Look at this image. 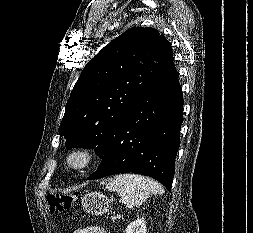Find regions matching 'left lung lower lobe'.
Listing matches in <instances>:
<instances>
[{"label": "left lung lower lobe", "instance_id": "1", "mask_svg": "<svg viewBox=\"0 0 253 233\" xmlns=\"http://www.w3.org/2000/svg\"><path fill=\"white\" fill-rule=\"evenodd\" d=\"M173 60L126 116L88 180L136 173L158 180L171 192L184 103Z\"/></svg>", "mask_w": 253, "mask_h": 233}]
</instances>
